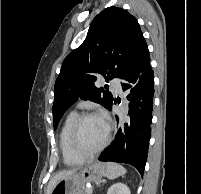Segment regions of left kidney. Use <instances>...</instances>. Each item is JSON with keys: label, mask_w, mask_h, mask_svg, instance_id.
I'll use <instances>...</instances> for the list:
<instances>
[{"label": "left kidney", "mask_w": 201, "mask_h": 194, "mask_svg": "<svg viewBox=\"0 0 201 194\" xmlns=\"http://www.w3.org/2000/svg\"><path fill=\"white\" fill-rule=\"evenodd\" d=\"M107 194H131L129 188L124 183H115L112 185Z\"/></svg>", "instance_id": "5707ae66"}]
</instances>
